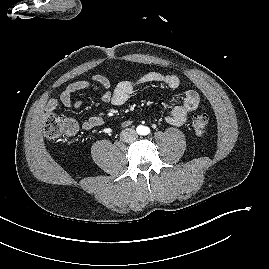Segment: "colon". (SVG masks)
<instances>
[{"label": "colon", "instance_id": "5ec220e1", "mask_svg": "<svg viewBox=\"0 0 269 269\" xmlns=\"http://www.w3.org/2000/svg\"><path fill=\"white\" fill-rule=\"evenodd\" d=\"M209 118L207 114H197L192 119V129L197 136H202L208 127ZM73 129L68 118L58 116L54 113L46 114L43 123V130L47 137L58 138L67 135Z\"/></svg>", "mask_w": 269, "mask_h": 269}]
</instances>
